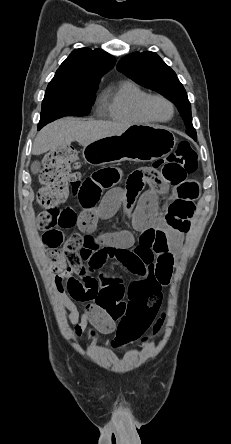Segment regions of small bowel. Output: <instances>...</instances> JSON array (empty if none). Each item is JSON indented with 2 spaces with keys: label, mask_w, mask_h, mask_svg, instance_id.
<instances>
[{
  "label": "small bowel",
  "mask_w": 231,
  "mask_h": 444,
  "mask_svg": "<svg viewBox=\"0 0 231 444\" xmlns=\"http://www.w3.org/2000/svg\"><path fill=\"white\" fill-rule=\"evenodd\" d=\"M123 171L117 167H104L82 182L77 193L81 212L75 216L80 234L74 233L65 242L64 250L58 247L63 241L62 231L45 232L44 243L51 248L49 264L56 290L65 313L74 326L76 335L87 330L95 339L99 333L109 334L125 313L128 301L150 288L153 283L162 287L170 282L175 255L183 243V233L170 226V208L177 201L193 204L199 195V186L188 181L183 188H175L172 202L158 220V198L166 193V181L155 172L147 176L130 177L124 188L117 187ZM148 185L140 199L138 196ZM107 192L102 196V192ZM123 209L132 227L140 232L139 243L134 244L130 231H99L100 220ZM79 253L86 262L81 268L84 295L77 299L85 304L80 312L67 296L65 280L68 275L66 254ZM113 259L136 277L126 289L118 279L96 277L107 260ZM90 326V327H89Z\"/></svg>",
  "instance_id": "obj_1"
}]
</instances>
